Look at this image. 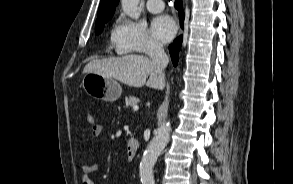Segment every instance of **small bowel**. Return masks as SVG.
Wrapping results in <instances>:
<instances>
[{
  "label": "small bowel",
  "mask_w": 293,
  "mask_h": 184,
  "mask_svg": "<svg viewBox=\"0 0 293 184\" xmlns=\"http://www.w3.org/2000/svg\"><path fill=\"white\" fill-rule=\"evenodd\" d=\"M103 132V127L100 124H93L91 131V139L98 138ZM99 168L96 163H87L80 165L81 184H94L90 178V174L97 171Z\"/></svg>",
  "instance_id": "obj_1"
}]
</instances>
